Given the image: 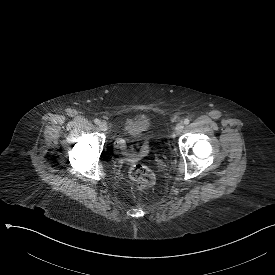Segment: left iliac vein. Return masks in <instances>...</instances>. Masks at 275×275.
<instances>
[{
	"label": "left iliac vein",
	"instance_id": "1",
	"mask_svg": "<svg viewBox=\"0 0 275 275\" xmlns=\"http://www.w3.org/2000/svg\"><path fill=\"white\" fill-rule=\"evenodd\" d=\"M183 130H184V124L179 122L175 128L176 134H178V135L181 134L183 132Z\"/></svg>",
	"mask_w": 275,
	"mask_h": 275
}]
</instances>
